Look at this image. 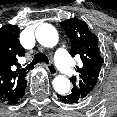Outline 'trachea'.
I'll return each mask as SVG.
<instances>
[{
	"instance_id": "3493384b",
	"label": "trachea",
	"mask_w": 117,
	"mask_h": 117,
	"mask_svg": "<svg viewBox=\"0 0 117 117\" xmlns=\"http://www.w3.org/2000/svg\"><path fill=\"white\" fill-rule=\"evenodd\" d=\"M40 62H44V63L49 64L48 57L43 53L35 54L34 58H33V61L29 65H27V67H33L34 65H36V64H38Z\"/></svg>"
}]
</instances>
